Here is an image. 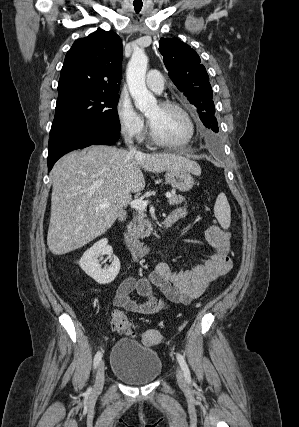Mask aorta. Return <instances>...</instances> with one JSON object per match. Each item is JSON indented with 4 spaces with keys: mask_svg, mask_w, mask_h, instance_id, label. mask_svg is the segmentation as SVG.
Returning a JSON list of instances; mask_svg holds the SVG:
<instances>
[{
    "mask_svg": "<svg viewBox=\"0 0 299 427\" xmlns=\"http://www.w3.org/2000/svg\"><path fill=\"white\" fill-rule=\"evenodd\" d=\"M147 64L148 57L144 51H135L128 63L126 72L129 91L134 99L135 106L144 113L157 107L155 97L148 91L145 84Z\"/></svg>",
    "mask_w": 299,
    "mask_h": 427,
    "instance_id": "aorta-1",
    "label": "aorta"
}]
</instances>
